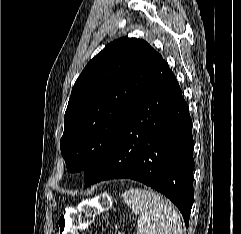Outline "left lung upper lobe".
<instances>
[{
    "instance_id": "1",
    "label": "left lung upper lobe",
    "mask_w": 241,
    "mask_h": 234,
    "mask_svg": "<svg viewBox=\"0 0 241 234\" xmlns=\"http://www.w3.org/2000/svg\"><path fill=\"white\" fill-rule=\"evenodd\" d=\"M162 61L146 41L124 37L106 45L76 80L60 148L69 172L84 170L85 187L103 166L131 106Z\"/></svg>"
}]
</instances>
